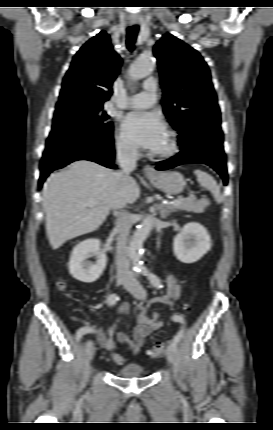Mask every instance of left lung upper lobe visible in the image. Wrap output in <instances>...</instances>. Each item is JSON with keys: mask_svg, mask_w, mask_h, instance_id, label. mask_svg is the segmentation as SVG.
<instances>
[{"mask_svg": "<svg viewBox=\"0 0 273 430\" xmlns=\"http://www.w3.org/2000/svg\"><path fill=\"white\" fill-rule=\"evenodd\" d=\"M154 55L160 70L164 113L179 134L209 119L220 123L210 71L198 51L166 34L156 43Z\"/></svg>", "mask_w": 273, "mask_h": 430, "instance_id": "obj_1", "label": "left lung upper lobe"}]
</instances>
